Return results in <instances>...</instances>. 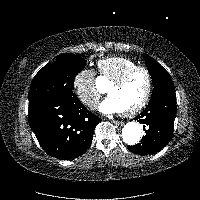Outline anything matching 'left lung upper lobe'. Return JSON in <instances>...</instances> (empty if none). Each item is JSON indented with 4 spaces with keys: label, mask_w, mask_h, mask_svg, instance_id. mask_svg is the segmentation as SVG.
<instances>
[{
    "label": "left lung upper lobe",
    "mask_w": 200,
    "mask_h": 200,
    "mask_svg": "<svg viewBox=\"0 0 200 200\" xmlns=\"http://www.w3.org/2000/svg\"><path fill=\"white\" fill-rule=\"evenodd\" d=\"M144 57L153 80L154 89L151 97L160 93H175L174 84L169 73L149 55L144 54Z\"/></svg>",
    "instance_id": "5c2ea615"
}]
</instances>
